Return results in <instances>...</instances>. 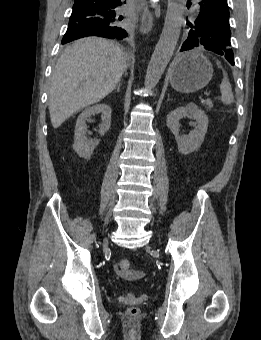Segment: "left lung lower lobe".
Masks as SVG:
<instances>
[{
  "mask_svg": "<svg viewBox=\"0 0 261 340\" xmlns=\"http://www.w3.org/2000/svg\"><path fill=\"white\" fill-rule=\"evenodd\" d=\"M199 14L193 20L200 26L206 24L212 20L229 19V8L227 0H199L198 1ZM192 21V22H193ZM200 40L195 36H189L186 38L182 45L181 51L189 50L194 47H200ZM225 58L231 65H234L233 51L229 52Z\"/></svg>",
  "mask_w": 261,
  "mask_h": 340,
  "instance_id": "1",
  "label": "left lung lower lobe"
}]
</instances>
